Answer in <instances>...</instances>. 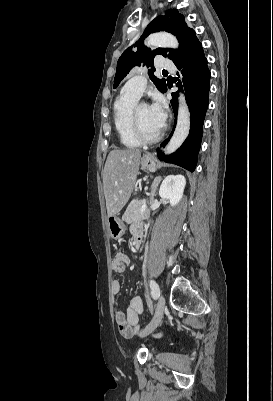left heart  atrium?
<instances>
[{
	"instance_id": "1",
	"label": "left heart atrium",
	"mask_w": 273,
	"mask_h": 401,
	"mask_svg": "<svg viewBox=\"0 0 273 401\" xmlns=\"http://www.w3.org/2000/svg\"><path fill=\"white\" fill-rule=\"evenodd\" d=\"M150 117L153 122L162 129L166 122L167 112L166 106L162 99L154 98L152 103L147 106Z\"/></svg>"
}]
</instances>
